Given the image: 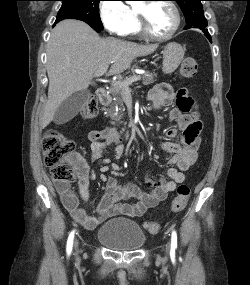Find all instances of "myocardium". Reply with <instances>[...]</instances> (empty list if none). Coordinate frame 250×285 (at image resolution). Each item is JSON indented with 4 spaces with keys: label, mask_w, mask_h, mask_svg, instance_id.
I'll list each match as a JSON object with an SVG mask.
<instances>
[{
    "label": "myocardium",
    "mask_w": 250,
    "mask_h": 285,
    "mask_svg": "<svg viewBox=\"0 0 250 285\" xmlns=\"http://www.w3.org/2000/svg\"><path fill=\"white\" fill-rule=\"evenodd\" d=\"M149 3H153V2H146V4H149ZM161 3L167 4L173 10V13H174V16H175L174 26L172 27L170 32L168 34L164 35V36L154 35L150 31V29L148 27L145 13L142 10L138 9V8L135 9L136 14H137V18H138V24H139L140 33L145 38H147L149 40H152V41H157V42H164V41H168L171 38H173V36L179 30L180 25H181V14H180V10H179L178 6L172 0H164Z\"/></svg>",
    "instance_id": "myocardium-1"
}]
</instances>
